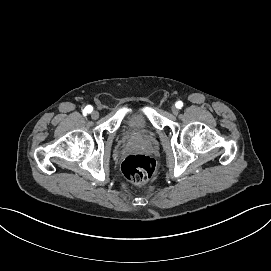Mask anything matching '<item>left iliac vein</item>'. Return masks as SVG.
<instances>
[{"label": "left iliac vein", "instance_id": "left-iliac-vein-1", "mask_svg": "<svg viewBox=\"0 0 271 271\" xmlns=\"http://www.w3.org/2000/svg\"><path fill=\"white\" fill-rule=\"evenodd\" d=\"M178 112H179V109L176 106H172V113L176 115L178 114Z\"/></svg>", "mask_w": 271, "mask_h": 271}]
</instances>
